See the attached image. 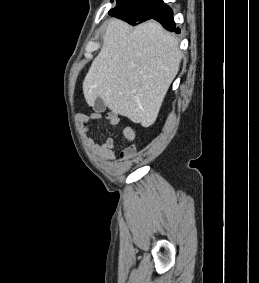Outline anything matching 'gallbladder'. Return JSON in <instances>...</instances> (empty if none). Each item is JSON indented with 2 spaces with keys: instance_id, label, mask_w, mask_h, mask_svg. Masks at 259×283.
<instances>
[{
  "instance_id": "obj_1",
  "label": "gallbladder",
  "mask_w": 259,
  "mask_h": 283,
  "mask_svg": "<svg viewBox=\"0 0 259 283\" xmlns=\"http://www.w3.org/2000/svg\"><path fill=\"white\" fill-rule=\"evenodd\" d=\"M93 110L98 113L104 112L106 110V105L101 98L96 99L93 105Z\"/></svg>"
}]
</instances>
